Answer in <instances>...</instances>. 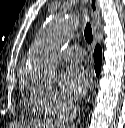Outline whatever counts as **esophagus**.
I'll list each match as a JSON object with an SVG mask.
<instances>
[{
	"instance_id": "34e87169",
	"label": "esophagus",
	"mask_w": 125,
	"mask_h": 128,
	"mask_svg": "<svg viewBox=\"0 0 125 128\" xmlns=\"http://www.w3.org/2000/svg\"><path fill=\"white\" fill-rule=\"evenodd\" d=\"M89 7L91 11V17H92V28L94 33V44L96 43V35L100 28V8L98 0H90L89 1Z\"/></svg>"
}]
</instances>
